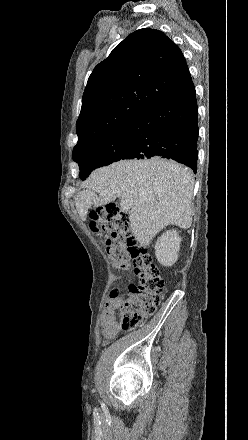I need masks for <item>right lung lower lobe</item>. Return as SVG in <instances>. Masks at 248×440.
Listing matches in <instances>:
<instances>
[{
    "label": "right lung lower lobe",
    "mask_w": 248,
    "mask_h": 440,
    "mask_svg": "<svg viewBox=\"0 0 248 440\" xmlns=\"http://www.w3.org/2000/svg\"><path fill=\"white\" fill-rule=\"evenodd\" d=\"M130 144L121 159L170 158L197 171L195 88L156 103L127 124Z\"/></svg>",
    "instance_id": "98d812e1"
}]
</instances>
